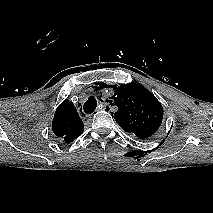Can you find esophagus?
Returning a JSON list of instances; mask_svg holds the SVG:
<instances>
[{"instance_id":"1","label":"esophagus","mask_w":213,"mask_h":213,"mask_svg":"<svg viewBox=\"0 0 213 213\" xmlns=\"http://www.w3.org/2000/svg\"><path fill=\"white\" fill-rule=\"evenodd\" d=\"M108 105L106 103H103V107L104 109L107 107Z\"/></svg>"}]
</instances>
